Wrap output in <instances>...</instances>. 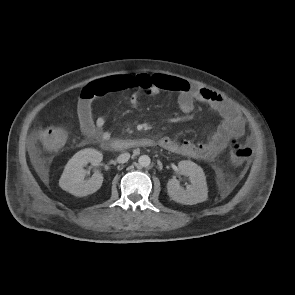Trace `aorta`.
Wrapping results in <instances>:
<instances>
[{
	"instance_id": "762f6f07",
	"label": "aorta",
	"mask_w": 295,
	"mask_h": 295,
	"mask_svg": "<svg viewBox=\"0 0 295 295\" xmlns=\"http://www.w3.org/2000/svg\"><path fill=\"white\" fill-rule=\"evenodd\" d=\"M138 163L142 167H148L151 163V159L148 155H141L138 159Z\"/></svg>"
}]
</instances>
